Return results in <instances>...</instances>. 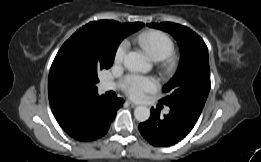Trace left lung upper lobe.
<instances>
[{"label": "left lung upper lobe", "mask_w": 261, "mask_h": 162, "mask_svg": "<svg viewBox=\"0 0 261 162\" xmlns=\"http://www.w3.org/2000/svg\"><path fill=\"white\" fill-rule=\"evenodd\" d=\"M149 27L169 32L181 48L177 74L163 87L167 96L160 100L168 106L185 103L202 111L210 91L208 49L204 41L186 26L175 23H149Z\"/></svg>", "instance_id": "5c2ea615"}]
</instances>
